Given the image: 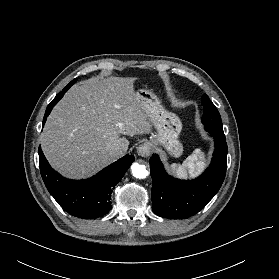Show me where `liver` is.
I'll list each match as a JSON object with an SVG mask.
<instances>
[{"label": "liver", "mask_w": 279, "mask_h": 279, "mask_svg": "<svg viewBox=\"0 0 279 279\" xmlns=\"http://www.w3.org/2000/svg\"><path fill=\"white\" fill-rule=\"evenodd\" d=\"M136 78L108 77L73 86L53 108L40 137L50 165L68 178L97 173L127 151L129 141L120 135L151 131L154 116L134 91Z\"/></svg>", "instance_id": "obj_1"}]
</instances>
